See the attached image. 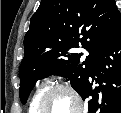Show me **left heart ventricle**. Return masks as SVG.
<instances>
[{"mask_svg":"<svg viewBox=\"0 0 121 113\" xmlns=\"http://www.w3.org/2000/svg\"><path fill=\"white\" fill-rule=\"evenodd\" d=\"M75 107V101L67 92L61 91L55 93L51 98L47 108L53 112H68Z\"/></svg>","mask_w":121,"mask_h":113,"instance_id":"1","label":"left heart ventricle"}]
</instances>
